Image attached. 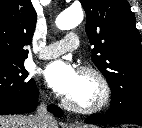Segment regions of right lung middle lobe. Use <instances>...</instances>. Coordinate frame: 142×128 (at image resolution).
I'll return each mask as SVG.
<instances>
[{"instance_id":"obj_1","label":"right lung middle lobe","mask_w":142,"mask_h":128,"mask_svg":"<svg viewBox=\"0 0 142 128\" xmlns=\"http://www.w3.org/2000/svg\"><path fill=\"white\" fill-rule=\"evenodd\" d=\"M28 76L24 64L0 65V99H21L32 95L36 90V84Z\"/></svg>"}]
</instances>
